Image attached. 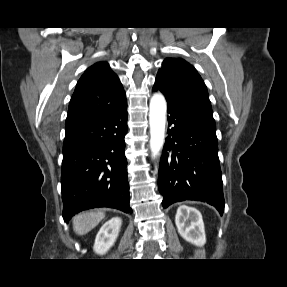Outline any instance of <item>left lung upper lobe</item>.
<instances>
[{
  "label": "left lung upper lobe",
  "mask_w": 287,
  "mask_h": 287,
  "mask_svg": "<svg viewBox=\"0 0 287 287\" xmlns=\"http://www.w3.org/2000/svg\"><path fill=\"white\" fill-rule=\"evenodd\" d=\"M153 88L163 92L168 104L216 132L207 87L190 63L180 58H166Z\"/></svg>",
  "instance_id": "obj_1"
}]
</instances>
